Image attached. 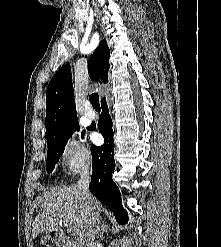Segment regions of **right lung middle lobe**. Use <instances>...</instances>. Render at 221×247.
Returning a JSON list of instances; mask_svg holds the SVG:
<instances>
[{
    "instance_id": "right-lung-middle-lobe-1",
    "label": "right lung middle lobe",
    "mask_w": 221,
    "mask_h": 247,
    "mask_svg": "<svg viewBox=\"0 0 221 247\" xmlns=\"http://www.w3.org/2000/svg\"><path fill=\"white\" fill-rule=\"evenodd\" d=\"M79 128L80 127L78 126V122H75L65 128L59 134L46 138L48 147L46 169L48 170V173L53 171L55 164L58 162V159L64 152L67 141L72 136L75 130L79 131ZM83 136L84 131L82 132V138Z\"/></svg>"
}]
</instances>
